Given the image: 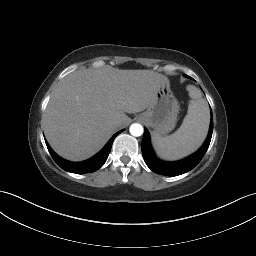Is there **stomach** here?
<instances>
[{
	"label": "stomach",
	"mask_w": 256,
	"mask_h": 256,
	"mask_svg": "<svg viewBox=\"0 0 256 256\" xmlns=\"http://www.w3.org/2000/svg\"><path fill=\"white\" fill-rule=\"evenodd\" d=\"M178 114L179 103L167 79L160 84L154 99L139 118L153 128L156 134L164 136L174 129Z\"/></svg>",
	"instance_id": "0dacf381"
}]
</instances>
